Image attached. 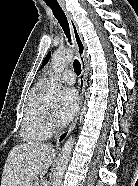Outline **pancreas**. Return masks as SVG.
Listing matches in <instances>:
<instances>
[{
	"instance_id": "cf45deb5",
	"label": "pancreas",
	"mask_w": 138,
	"mask_h": 186,
	"mask_svg": "<svg viewBox=\"0 0 138 186\" xmlns=\"http://www.w3.org/2000/svg\"><path fill=\"white\" fill-rule=\"evenodd\" d=\"M31 186H36V185H34V184H31Z\"/></svg>"
}]
</instances>
